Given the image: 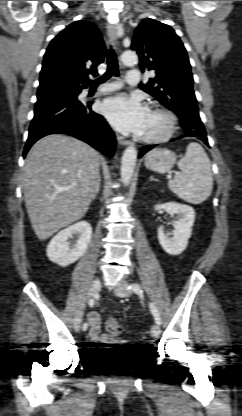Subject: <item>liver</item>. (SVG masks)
Segmentation results:
<instances>
[{
  "instance_id": "liver-1",
  "label": "liver",
  "mask_w": 242,
  "mask_h": 416,
  "mask_svg": "<svg viewBox=\"0 0 242 416\" xmlns=\"http://www.w3.org/2000/svg\"><path fill=\"white\" fill-rule=\"evenodd\" d=\"M101 156L74 137L51 134L38 140L23 168L26 209L40 240L81 219L93 199Z\"/></svg>"
}]
</instances>
